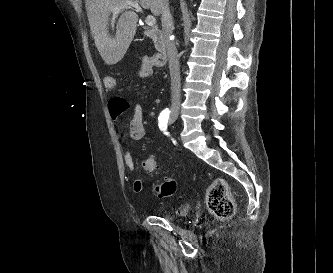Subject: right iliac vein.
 Returning <instances> with one entry per match:
<instances>
[{
    "label": "right iliac vein",
    "instance_id": "63e3f726",
    "mask_svg": "<svg viewBox=\"0 0 333 273\" xmlns=\"http://www.w3.org/2000/svg\"><path fill=\"white\" fill-rule=\"evenodd\" d=\"M178 114L176 112H172L170 114V120H172L173 122L177 119Z\"/></svg>",
    "mask_w": 333,
    "mask_h": 273
}]
</instances>
